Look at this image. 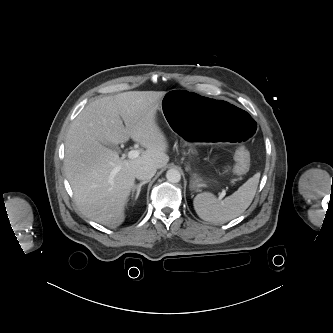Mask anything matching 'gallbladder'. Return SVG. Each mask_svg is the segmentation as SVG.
Wrapping results in <instances>:
<instances>
[{"mask_svg":"<svg viewBox=\"0 0 333 333\" xmlns=\"http://www.w3.org/2000/svg\"><path fill=\"white\" fill-rule=\"evenodd\" d=\"M107 147L110 148V149H112V150H114V151L118 150L117 146L113 145V144H108Z\"/></svg>","mask_w":333,"mask_h":333,"instance_id":"1","label":"gallbladder"}]
</instances>
